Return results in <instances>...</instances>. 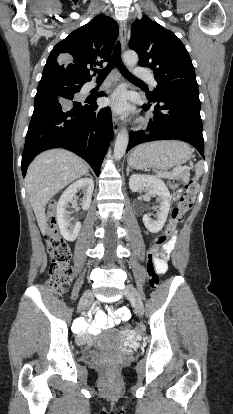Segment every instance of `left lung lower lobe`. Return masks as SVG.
<instances>
[{"label": "left lung lower lobe", "instance_id": "obj_1", "mask_svg": "<svg viewBox=\"0 0 233 414\" xmlns=\"http://www.w3.org/2000/svg\"><path fill=\"white\" fill-rule=\"evenodd\" d=\"M147 98L149 102L143 109H151L154 116L145 130L130 132L127 151L144 142L176 139L193 145L204 158L198 90L168 91L155 99Z\"/></svg>", "mask_w": 233, "mask_h": 414}]
</instances>
